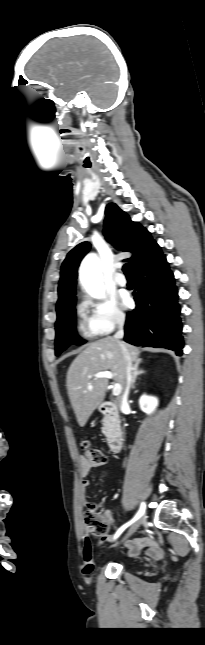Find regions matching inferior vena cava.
<instances>
[{"mask_svg":"<svg viewBox=\"0 0 205 645\" xmlns=\"http://www.w3.org/2000/svg\"><path fill=\"white\" fill-rule=\"evenodd\" d=\"M123 328H124V319H119L118 320V331L114 335V338L116 340H118V341L120 339H122L123 336H124V329ZM122 350H123L124 358H125V361H126V386H125L123 395H122V397L120 399V402H119L120 408L125 406L127 404V402H128V395H129L130 387L132 385V380H133V372H132L133 367H132L130 355H129L127 349L124 346H122Z\"/></svg>","mask_w":205,"mask_h":645,"instance_id":"602c4592","label":"inferior vena cava"}]
</instances>
